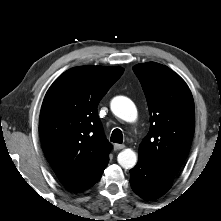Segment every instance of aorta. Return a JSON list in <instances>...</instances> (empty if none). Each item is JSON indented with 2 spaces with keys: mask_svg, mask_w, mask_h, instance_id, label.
I'll use <instances>...</instances> for the list:
<instances>
[{
  "mask_svg": "<svg viewBox=\"0 0 221 221\" xmlns=\"http://www.w3.org/2000/svg\"><path fill=\"white\" fill-rule=\"evenodd\" d=\"M111 111L126 122H134L137 119L135 104L127 97L117 96L112 99ZM118 163L124 169H131L137 163V155L131 149H124L118 154Z\"/></svg>",
  "mask_w": 221,
  "mask_h": 221,
  "instance_id": "762f6f07",
  "label": "aorta"
}]
</instances>
